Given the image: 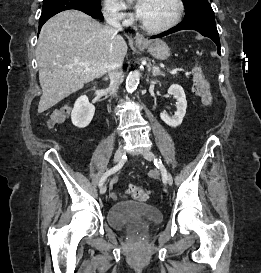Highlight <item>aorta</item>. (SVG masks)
Wrapping results in <instances>:
<instances>
[{"instance_id": "obj_1", "label": "aorta", "mask_w": 261, "mask_h": 273, "mask_svg": "<svg viewBox=\"0 0 261 273\" xmlns=\"http://www.w3.org/2000/svg\"><path fill=\"white\" fill-rule=\"evenodd\" d=\"M140 76H141V74L138 70H134L129 73V75L127 76V79H126L127 91L133 92L137 88L139 81H140Z\"/></svg>"}]
</instances>
